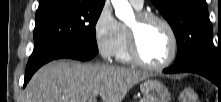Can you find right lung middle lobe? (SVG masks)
<instances>
[{"instance_id": "dd1d6c3e", "label": "right lung middle lobe", "mask_w": 221, "mask_h": 102, "mask_svg": "<svg viewBox=\"0 0 221 102\" xmlns=\"http://www.w3.org/2000/svg\"><path fill=\"white\" fill-rule=\"evenodd\" d=\"M104 4L83 0H56L39 6L34 29V50L27 66L65 47L98 52L95 25Z\"/></svg>"}]
</instances>
